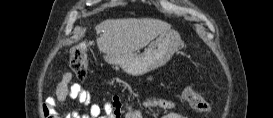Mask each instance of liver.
Returning a JSON list of instances; mask_svg holds the SVG:
<instances>
[{"label": "liver", "mask_w": 273, "mask_h": 118, "mask_svg": "<svg viewBox=\"0 0 273 118\" xmlns=\"http://www.w3.org/2000/svg\"><path fill=\"white\" fill-rule=\"evenodd\" d=\"M170 29V24L158 19H107L96 26V31L101 33L97 45L101 52L109 55L133 53ZM71 77L70 73H66L58 84L56 95L59 101L65 100Z\"/></svg>", "instance_id": "1"}]
</instances>
